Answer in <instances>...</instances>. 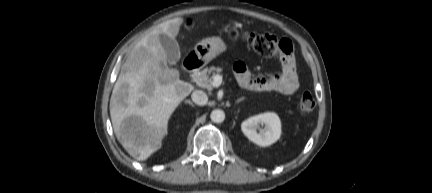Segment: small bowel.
Wrapping results in <instances>:
<instances>
[{
    "label": "small bowel",
    "mask_w": 432,
    "mask_h": 193,
    "mask_svg": "<svg viewBox=\"0 0 432 193\" xmlns=\"http://www.w3.org/2000/svg\"><path fill=\"white\" fill-rule=\"evenodd\" d=\"M233 69L238 84L249 91L291 95L299 88V77L292 56H283L281 72L267 76L254 77L242 61L236 62Z\"/></svg>",
    "instance_id": "c3829d8e"
}]
</instances>
